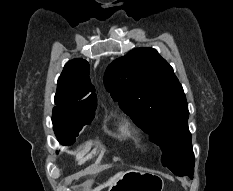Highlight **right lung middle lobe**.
I'll use <instances>...</instances> for the list:
<instances>
[{
  "label": "right lung middle lobe",
  "instance_id": "1",
  "mask_svg": "<svg viewBox=\"0 0 233 191\" xmlns=\"http://www.w3.org/2000/svg\"><path fill=\"white\" fill-rule=\"evenodd\" d=\"M94 118V113L72 114L53 109V128L57 139L63 145H71L83 126L88 125Z\"/></svg>",
  "mask_w": 233,
  "mask_h": 191
}]
</instances>
